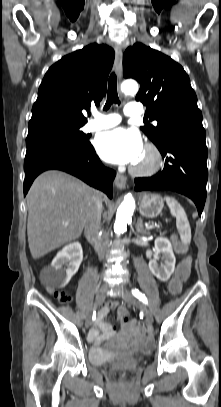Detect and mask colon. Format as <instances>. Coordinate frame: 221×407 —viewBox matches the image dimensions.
I'll return each instance as SVG.
<instances>
[{
    "instance_id": "colon-1",
    "label": "colon",
    "mask_w": 221,
    "mask_h": 407,
    "mask_svg": "<svg viewBox=\"0 0 221 407\" xmlns=\"http://www.w3.org/2000/svg\"><path fill=\"white\" fill-rule=\"evenodd\" d=\"M179 251L184 252L186 250L185 245L181 243L176 244ZM193 257L191 255H185L183 260L178 261V265L175 267V276L171 282L167 284V289L173 295H182L185 292V285L188 279L191 278ZM58 301L67 302L69 296L65 291H49ZM116 316L118 317L121 327L124 330H131L132 336L137 337L142 333V327L139 326L137 320H130V312L126 305H118L116 307Z\"/></svg>"
}]
</instances>
